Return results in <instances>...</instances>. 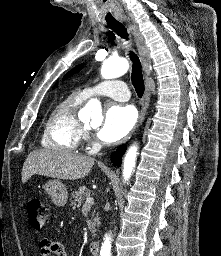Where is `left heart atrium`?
<instances>
[{
  "instance_id": "obj_1",
  "label": "left heart atrium",
  "mask_w": 221,
  "mask_h": 256,
  "mask_svg": "<svg viewBox=\"0 0 221 256\" xmlns=\"http://www.w3.org/2000/svg\"><path fill=\"white\" fill-rule=\"evenodd\" d=\"M135 122L136 112L131 106L111 104L106 109L97 137L105 143H114L127 135Z\"/></svg>"
}]
</instances>
